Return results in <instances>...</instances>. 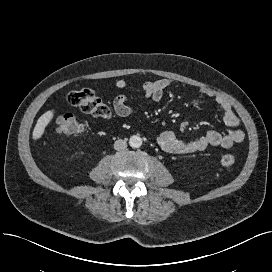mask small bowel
I'll list each match as a JSON object with an SVG mask.
<instances>
[{"label": "small bowel", "instance_id": "1", "mask_svg": "<svg viewBox=\"0 0 272 272\" xmlns=\"http://www.w3.org/2000/svg\"><path fill=\"white\" fill-rule=\"evenodd\" d=\"M173 84L174 82L170 79L147 81L140 85L139 90L145 98L152 102H158L162 99L164 91ZM115 86L124 89L128 87V83L120 79L116 81ZM201 93L213 99L221 109L223 121L228 127V131L221 133L211 130L193 140H184L172 131H164L157 135V142L164 151L173 154H188L203 151L210 147L230 148L244 140L245 134L240 129L241 120L236 115L230 102L211 89H202ZM113 107L119 117L125 118L133 113L132 107L128 104V97L125 94H120L115 98Z\"/></svg>", "mask_w": 272, "mask_h": 272}]
</instances>
